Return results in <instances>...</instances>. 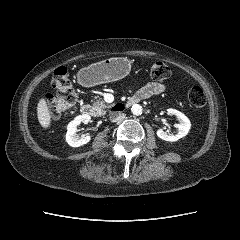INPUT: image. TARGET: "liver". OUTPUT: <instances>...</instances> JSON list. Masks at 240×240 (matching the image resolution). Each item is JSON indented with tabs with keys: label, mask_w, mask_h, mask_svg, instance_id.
I'll return each mask as SVG.
<instances>
[{
	"label": "liver",
	"mask_w": 240,
	"mask_h": 240,
	"mask_svg": "<svg viewBox=\"0 0 240 240\" xmlns=\"http://www.w3.org/2000/svg\"><path fill=\"white\" fill-rule=\"evenodd\" d=\"M37 117L40 125L47 129L51 124V113L45 99H40L37 105Z\"/></svg>",
	"instance_id": "obj_1"
}]
</instances>
